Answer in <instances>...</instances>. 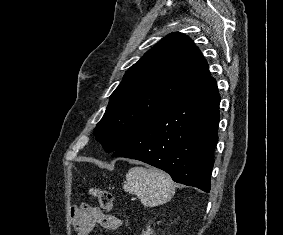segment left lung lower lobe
Instances as JSON below:
<instances>
[{"instance_id":"1","label":"left lung lower lobe","mask_w":283,"mask_h":235,"mask_svg":"<svg viewBox=\"0 0 283 235\" xmlns=\"http://www.w3.org/2000/svg\"><path fill=\"white\" fill-rule=\"evenodd\" d=\"M220 96L211 78L114 151L166 171L175 182L210 191Z\"/></svg>"}]
</instances>
